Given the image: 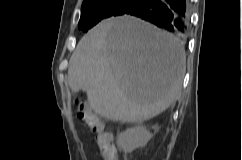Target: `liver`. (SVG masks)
Wrapping results in <instances>:
<instances>
[{
    "instance_id": "6515ba94",
    "label": "liver",
    "mask_w": 242,
    "mask_h": 160,
    "mask_svg": "<svg viewBox=\"0 0 242 160\" xmlns=\"http://www.w3.org/2000/svg\"><path fill=\"white\" fill-rule=\"evenodd\" d=\"M186 56L177 39L131 16L102 21L79 41L68 69L71 91L86 92L93 111L140 123L178 97Z\"/></svg>"
}]
</instances>
